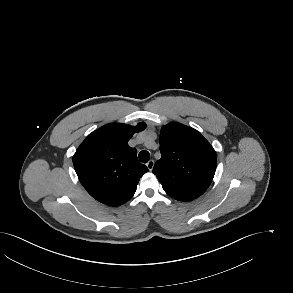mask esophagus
<instances>
[{"instance_id": "1", "label": "esophagus", "mask_w": 293, "mask_h": 293, "mask_svg": "<svg viewBox=\"0 0 293 293\" xmlns=\"http://www.w3.org/2000/svg\"><path fill=\"white\" fill-rule=\"evenodd\" d=\"M153 167H154V161H153V160L148 161V163H147V168H148L150 171H152Z\"/></svg>"}]
</instances>
